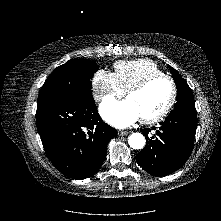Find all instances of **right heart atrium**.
Instances as JSON below:
<instances>
[{"instance_id":"right-heart-atrium-1","label":"right heart atrium","mask_w":221,"mask_h":221,"mask_svg":"<svg viewBox=\"0 0 221 221\" xmlns=\"http://www.w3.org/2000/svg\"><path fill=\"white\" fill-rule=\"evenodd\" d=\"M92 91L94 98L99 102L121 97L124 94L114 73L105 70H99L94 74Z\"/></svg>"}]
</instances>
